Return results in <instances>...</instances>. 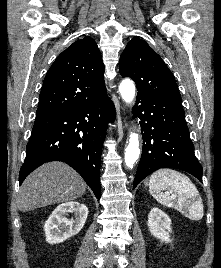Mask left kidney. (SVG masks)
<instances>
[{
	"instance_id": "5707ae66",
	"label": "left kidney",
	"mask_w": 221,
	"mask_h": 268,
	"mask_svg": "<svg viewBox=\"0 0 221 268\" xmlns=\"http://www.w3.org/2000/svg\"><path fill=\"white\" fill-rule=\"evenodd\" d=\"M148 227L150 233L160 239L162 242L169 243L171 230V219L169 216L161 211L159 208L154 207L148 215Z\"/></svg>"
}]
</instances>
